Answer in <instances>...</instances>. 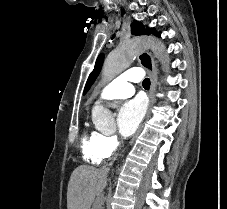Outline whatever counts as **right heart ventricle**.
<instances>
[{
	"label": "right heart ventricle",
	"instance_id": "right-heart-ventricle-1",
	"mask_svg": "<svg viewBox=\"0 0 227 209\" xmlns=\"http://www.w3.org/2000/svg\"><path fill=\"white\" fill-rule=\"evenodd\" d=\"M81 147L84 160L92 165L102 164L112 154L105 144V134L98 130L85 134Z\"/></svg>",
	"mask_w": 227,
	"mask_h": 209
}]
</instances>
